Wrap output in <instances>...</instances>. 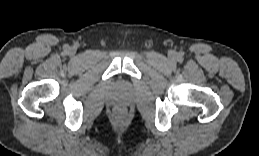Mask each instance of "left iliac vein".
Here are the masks:
<instances>
[{
  "label": "left iliac vein",
  "mask_w": 259,
  "mask_h": 156,
  "mask_svg": "<svg viewBox=\"0 0 259 156\" xmlns=\"http://www.w3.org/2000/svg\"><path fill=\"white\" fill-rule=\"evenodd\" d=\"M169 58H170L171 60H175V58H176L175 53H170Z\"/></svg>",
  "instance_id": "obj_1"
}]
</instances>
